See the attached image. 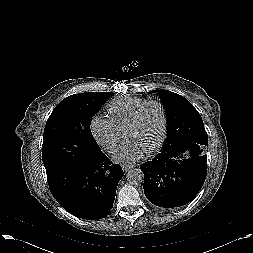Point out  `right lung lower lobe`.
<instances>
[{"mask_svg":"<svg viewBox=\"0 0 253 253\" xmlns=\"http://www.w3.org/2000/svg\"><path fill=\"white\" fill-rule=\"evenodd\" d=\"M49 189L70 214L88 220L106 217L124 173L101 151L91 158L46 170Z\"/></svg>","mask_w":253,"mask_h":253,"instance_id":"right-lung-lower-lobe-1","label":"right lung lower lobe"}]
</instances>
